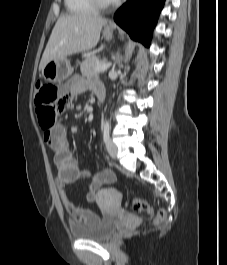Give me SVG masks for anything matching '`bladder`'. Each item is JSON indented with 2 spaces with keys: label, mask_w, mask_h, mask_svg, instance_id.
<instances>
[{
  "label": "bladder",
  "mask_w": 227,
  "mask_h": 265,
  "mask_svg": "<svg viewBox=\"0 0 227 265\" xmlns=\"http://www.w3.org/2000/svg\"><path fill=\"white\" fill-rule=\"evenodd\" d=\"M116 227V218L107 216L93 224H73L70 226V234L75 239L101 241L107 239Z\"/></svg>",
  "instance_id": "obj_1"
}]
</instances>
